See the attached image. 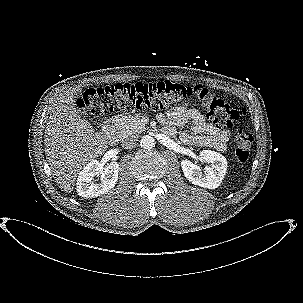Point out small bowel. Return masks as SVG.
<instances>
[{"label":"small bowel","instance_id":"obj_1","mask_svg":"<svg viewBox=\"0 0 303 303\" xmlns=\"http://www.w3.org/2000/svg\"><path fill=\"white\" fill-rule=\"evenodd\" d=\"M158 121L164 126L165 133L170 136L176 133L177 127L190 122L193 133H180V138L184 143L192 146L210 147L221 152L227 149L229 131L207 122L204 115L188 102L179 103L167 112L160 113Z\"/></svg>","mask_w":303,"mask_h":303}]
</instances>
